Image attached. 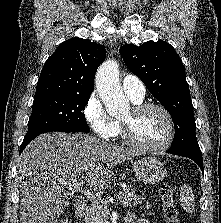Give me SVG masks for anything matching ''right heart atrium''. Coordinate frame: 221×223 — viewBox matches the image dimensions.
<instances>
[{"label":"right heart atrium","mask_w":221,"mask_h":223,"mask_svg":"<svg viewBox=\"0 0 221 223\" xmlns=\"http://www.w3.org/2000/svg\"><path fill=\"white\" fill-rule=\"evenodd\" d=\"M84 118L92 131L101 139L110 140L117 133V123L111 118L96 92H92L83 108Z\"/></svg>","instance_id":"right-heart-atrium-1"}]
</instances>
